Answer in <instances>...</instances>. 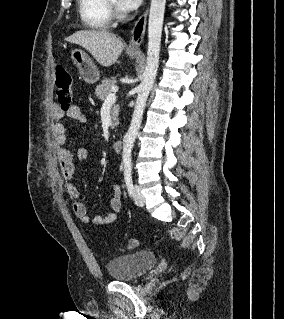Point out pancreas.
Masks as SVG:
<instances>
[{"label": "pancreas", "mask_w": 284, "mask_h": 319, "mask_svg": "<svg viewBox=\"0 0 284 319\" xmlns=\"http://www.w3.org/2000/svg\"><path fill=\"white\" fill-rule=\"evenodd\" d=\"M116 85V80L115 78L112 79H107L104 78L99 85H97L95 89V95L97 96L98 99L101 101H105L106 97L108 96L109 93H111V89L113 86ZM118 112H119V105L114 104L111 109V118H112V125L111 129H114L118 125Z\"/></svg>", "instance_id": "1"}]
</instances>
